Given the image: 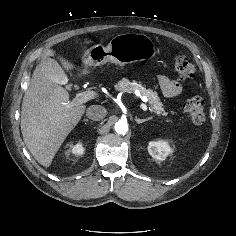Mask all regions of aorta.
Wrapping results in <instances>:
<instances>
[{
  "instance_id": "obj_1",
  "label": "aorta",
  "mask_w": 236,
  "mask_h": 236,
  "mask_svg": "<svg viewBox=\"0 0 236 236\" xmlns=\"http://www.w3.org/2000/svg\"><path fill=\"white\" fill-rule=\"evenodd\" d=\"M115 131L120 135H125L128 131V124L126 121H118L115 123Z\"/></svg>"
}]
</instances>
